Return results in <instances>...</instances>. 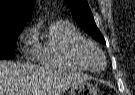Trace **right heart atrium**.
<instances>
[{
    "mask_svg": "<svg viewBox=\"0 0 135 95\" xmlns=\"http://www.w3.org/2000/svg\"><path fill=\"white\" fill-rule=\"evenodd\" d=\"M27 33L29 34L30 32L27 31ZM32 54L35 55V46L33 47Z\"/></svg>",
    "mask_w": 135,
    "mask_h": 95,
    "instance_id": "obj_1",
    "label": "right heart atrium"
}]
</instances>
